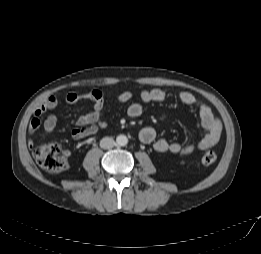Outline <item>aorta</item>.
I'll use <instances>...</instances> for the list:
<instances>
[{"label":"aorta","mask_w":261,"mask_h":254,"mask_svg":"<svg viewBox=\"0 0 261 254\" xmlns=\"http://www.w3.org/2000/svg\"><path fill=\"white\" fill-rule=\"evenodd\" d=\"M116 143L119 146H125L128 143V138L125 135H118L116 138Z\"/></svg>","instance_id":"1"}]
</instances>
